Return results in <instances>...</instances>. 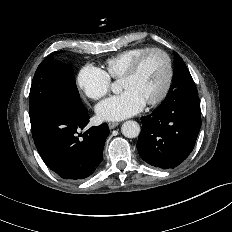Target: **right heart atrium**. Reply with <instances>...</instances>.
Wrapping results in <instances>:
<instances>
[{
    "mask_svg": "<svg viewBox=\"0 0 232 232\" xmlns=\"http://www.w3.org/2000/svg\"><path fill=\"white\" fill-rule=\"evenodd\" d=\"M77 86L84 96L98 100L108 94L111 81L104 70L93 65H85L78 72Z\"/></svg>",
    "mask_w": 232,
    "mask_h": 232,
    "instance_id": "obj_1",
    "label": "right heart atrium"
}]
</instances>
